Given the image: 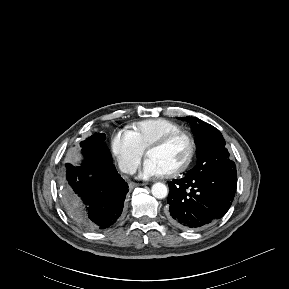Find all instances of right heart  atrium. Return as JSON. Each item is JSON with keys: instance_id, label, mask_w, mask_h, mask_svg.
<instances>
[{"instance_id": "1", "label": "right heart atrium", "mask_w": 289, "mask_h": 289, "mask_svg": "<svg viewBox=\"0 0 289 289\" xmlns=\"http://www.w3.org/2000/svg\"><path fill=\"white\" fill-rule=\"evenodd\" d=\"M111 149L120 168L130 173L144 154L132 130L123 129L115 132L111 138Z\"/></svg>"}]
</instances>
